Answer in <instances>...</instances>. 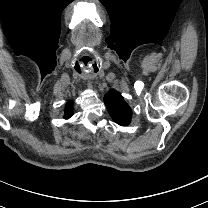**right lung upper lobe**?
<instances>
[{
	"instance_id": "right-lung-upper-lobe-1",
	"label": "right lung upper lobe",
	"mask_w": 208,
	"mask_h": 208,
	"mask_svg": "<svg viewBox=\"0 0 208 208\" xmlns=\"http://www.w3.org/2000/svg\"><path fill=\"white\" fill-rule=\"evenodd\" d=\"M72 103H67L64 118L68 119L73 115Z\"/></svg>"
}]
</instances>
